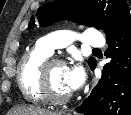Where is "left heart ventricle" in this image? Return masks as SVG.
Returning <instances> with one entry per match:
<instances>
[{
    "label": "left heart ventricle",
    "instance_id": "obj_1",
    "mask_svg": "<svg viewBox=\"0 0 131 115\" xmlns=\"http://www.w3.org/2000/svg\"><path fill=\"white\" fill-rule=\"evenodd\" d=\"M66 68L64 66L53 65L47 72V82L50 93L56 97L69 95V88L65 82Z\"/></svg>",
    "mask_w": 131,
    "mask_h": 115
}]
</instances>
